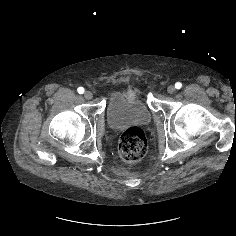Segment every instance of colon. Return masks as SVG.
I'll use <instances>...</instances> for the list:
<instances>
[{
  "instance_id": "colon-1",
  "label": "colon",
  "mask_w": 236,
  "mask_h": 236,
  "mask_svg": "<svg viewBox=\"0 0 236 236\" xmlns=\"http://www.w3.org/2000/svg\"><path fill=\"white\" fill-rule=\"evenodd\" d=\"M147 139L143 130L139 127L126 129L119 141V153L126 162H137L141 160L147 152Z\"/></svg>"
}]
</instances>
